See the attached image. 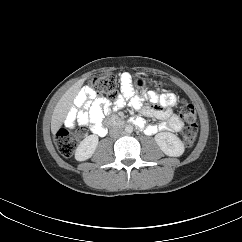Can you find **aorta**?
Wrapping results in <instances>:
<instances>
[{
  "instance_id": "aorta-1",
  "label": "aorta",
  "mask_w": 242,
  "mask_h": 242,
  "mask_svg": "<svg viewBox=\"0 0 242 242\" xmlns=\"http://www.w3.org/2000/svg\"><path fill=\"white\" fill-rule=\"evenodd\" d=\"M125 133L130 134L133 132V126L132 125H127L125 126Z\"/></svg>"
}]
</instances>
